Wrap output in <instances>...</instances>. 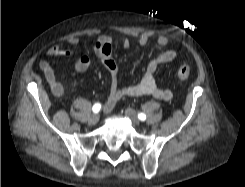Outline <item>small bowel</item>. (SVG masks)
<instances>
[{"label":"small bowel","instance_id":"1","mask_svg":"<svg viewBox=\"0 0 245 187\" xmlns=\"http://www.w3.org/2000/svg\"><path fill=\"white\" fill-rule=\"evenodd\" d=\"M150 38L146 34H141L138 38V43L141 46L148 44ZM157 45L165 47L168 44V38L164 35H160L157 40ZM70 45L78 43L76 38H72L68 41ZM122 47L128 49L130 47V41L127 38L122 40ZM93 50L96 56H98L105 67L108 69L111 76L110 93L107 101L103 105V109L108 112L112 110L117 101L123 96H143L148 95L156 99L169 101L172 99L173 94L170 89L161 88L157 85L155 80V73L160 65L171 62L178 57V51L175 49H167L162 51L154 59H152L145 70L144 75L138 83L130 84L126 86H119V68L112 56L113 52V39L110 36H103L99 38L93 45ZM62 53V44L58 43L49 48L47 54L50 57H56ZM91 64L89 56L83 55L79 57L73 65V75L85 72ZM40 70L42 71L47 83L50 86L52 93L56 96L63 94V86L57 81L55 72L46 59L41 60L39 64Z\"/></svg>","mask_w":245,"mask_h":187}]
</instances>
